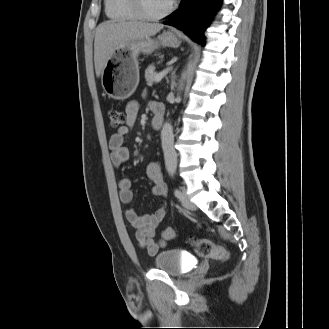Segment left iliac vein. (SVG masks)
Wrapping results in <instances>:
<instances>
[{"instance_id": "4c4485c4", "label": "left iliac vein", "mask_w": 329, "mask_h": 329, "mask_svg": "<svg viewBox=\"0 0 329 329\" xmlns=\"http://www.w3.org/2000/svg\"><path fill=\"white\" fill-rule=\"evenodd\" d=\"M179 198H180V201H181L183 207H185L186 209H188V210L196 209L195 204L190 201L185 189H182V193Z\"/></svg>"}]
</instances>
